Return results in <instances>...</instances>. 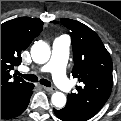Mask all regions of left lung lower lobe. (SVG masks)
<instances>
[{"mask_svg": "<svg viewBox=\"0 0 121 121\" xmlns=\"http://www.w3.org/2000/svg\"><path fill=\"white\" fill-rule=\"evenodd\" d=\"M54 112L56 116L63 121H86L85 119H81L77 115L73 114L67 108H63L61 110L54 109Z\"/></svg>", "mask_w": 121, "mask_h": 121, "instance_id": "1", "label": "left lung lower lobe"}]
</instances>
